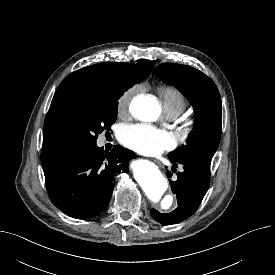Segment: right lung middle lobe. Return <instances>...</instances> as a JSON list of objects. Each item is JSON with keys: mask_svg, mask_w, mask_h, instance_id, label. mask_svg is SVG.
Masks as SVG:
<instances>
[{"mask_svg": "<svg viewBox=\"0 0 275 275\" xmlns=\"http://www.w3.org/2000/svg\"><path fill=\"white\" fill-rule=\"evenodd\" d=\"M121 95L63 98L50 108V122L71 150L95 146L98 134L115 122Z\"/></svg>", "mask_w": 275, "mask_h": 275, "instance_id": "1", "label": "right lung middle lobe"}]
</instances>
